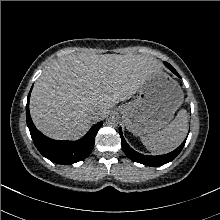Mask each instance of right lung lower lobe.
<instances>
[{"mask_svg": "<svg viewBox=\"0 0 220 220\" xmlns=\"http://www.w3.org/2000/svg\"><path fill=\"white\" fill-rule=\"evenodd\" d=\"M29 99L30 93L26 105L27 126L36 148L44 157L58 164H73L85 159L91 153L94 147L95 136L103 122L94 125L80 140H53L43 135L34 126L29 112Z\"/></svg>", "mask_w": 220, "mask_h": 220, "instance_id": "1", "label": "right lung lower lobe"}]
</instances>
